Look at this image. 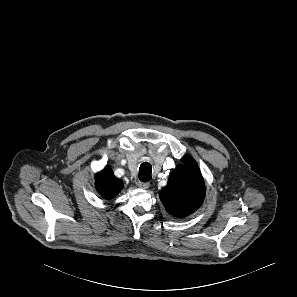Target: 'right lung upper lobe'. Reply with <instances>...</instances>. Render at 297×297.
Segmentation results:
<instances>
[{
	"label": "right lung upper lobe",
	"mask_w": 297,
	"mask_h": 297,
	"mask_svg": "<svg viewBox=\"0 0 297 297\" xmlns=\"http://www.w3.org/2000/svg\"><path fill=\"white\" fill-rule=\"evenodd\" d=\"M122 188L123 182L114 176L110 168L96 174V189L103 198H114Z\"/></svg>",
	"instance_id": "obj_1"
}]
</instances>
